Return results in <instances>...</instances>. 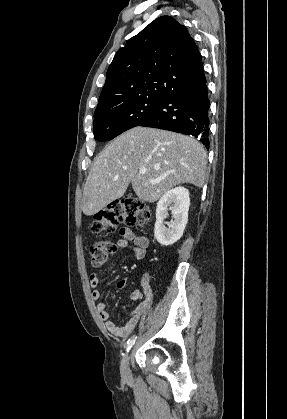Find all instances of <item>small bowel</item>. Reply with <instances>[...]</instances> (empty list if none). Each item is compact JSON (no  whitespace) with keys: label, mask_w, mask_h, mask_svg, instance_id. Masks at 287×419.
<instances>
[{"label":"small bowel","mask_w":287,"mask_h":419,"mask_svg":"<svg viewBox=\"0 0 287 419\" xmlns=\"http://www.w3.org/2000/svg\"><path fill=\"white\" fill-rule=\"evenodd\" d=\"M122 238L118 240L117 245L120 250H129L136 258H143L149 241L144 236H137L131 229H121ZM90 285L93 288L92 298L97 300L100 298V291L97 289L99 285L100 276L96 273L90 275ZM149 274L143 276L142 284L144 291L135 290L130 294V299L133 301H140L141 303L130 313L127 322L119 326L114 323L110 318V311L104 303H98L96 310L102 321L105 323L106 329L117 337L128 336L136 327L140 317L146 312L150 305L149 292H148ZM127 285L126 279H121L117 282L116 287L118 290H123Z\"/></svg>","instance_id":"1"}]
</instances>
